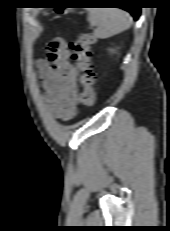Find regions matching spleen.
<instances>
[{
  "label": "spleen",
  "mask_w": 170,
  "mask_h": 231,
  "mask_svg": "<svg viewBox=\"0 0 170 231\" xmlns=\"http://www.w3.org/2000/svg\"><path fill=\"white\" fill-rule=\"evenodd\" d=\"M88 21L96 26L94 35L100 39L112 37L130 27L129 14L117 8H91Z\"/></svg>",
  "instance_id": "spleen-1"
}]
</instances>
